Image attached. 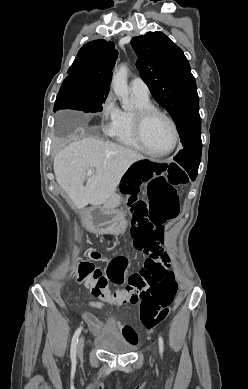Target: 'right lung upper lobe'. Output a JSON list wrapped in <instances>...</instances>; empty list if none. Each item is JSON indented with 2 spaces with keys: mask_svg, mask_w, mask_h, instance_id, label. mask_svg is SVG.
I'll return each mask as SVG.
<instances>
[{
  "mask_svg": "<svg viewBox=\"0 0 248 389\" xmlns=\"http://www.w3.org/2000/svg\"><path fill=\"white\" fill-rule=\"evenodd\" d=\"M117 56L118 51L111 41L98 39L88 42L79 50L67 73L84 76L85 82L93 87L110 89Z\"/></svg>",
  "mask_w": 248,
  "mask_h": 389,
  "instance_id": "1",
  "label": "right lung upper lobe"
}]
</instances>
